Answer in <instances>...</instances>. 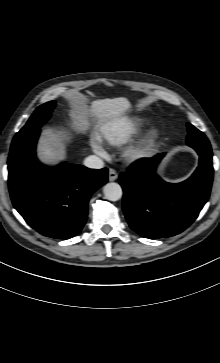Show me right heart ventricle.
<instances>
[{"label":"right heart ventricle","instance_id":"e07e8e85","mask_svg":"<svg viewBox=\"0 0 220 363\" xmlns=\"http://www.w3.org/2000/svg\"><path fill=\"white\" fill-rule=\"evenodd\" d=\"M144 125L145 122L138 117H117L104 125L101 137L110 145L121 146L137 135Z\"/></svg>","mask_w":220,"mask_h":363}]
</instances>
